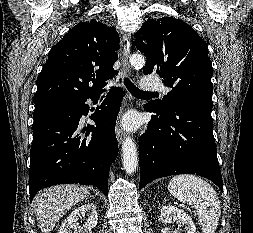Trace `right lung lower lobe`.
<instances>
[{
	"label": "right lung lower lobe",
	"instance_id": "98d812e1",
	"mask_svg": "<svg viewBox=\"0 0 253 233\" xmlns=\"http://www.w3.org/2000/svg\"><path fill=\"white\" fill-rule=\"evenodd\" d=\"M100 93L50 99L35 105L30 202L39 190L66 183L94 185L107 195L110 166L118 154L115 124L123 90L112 88L90 117L96 126L88 124L82 128L79 121L89 111L86 100L90 98L95 102Z\"/></svg>",
	"mask_w": 253,
	"mask_h": 233
}]
</instances>
